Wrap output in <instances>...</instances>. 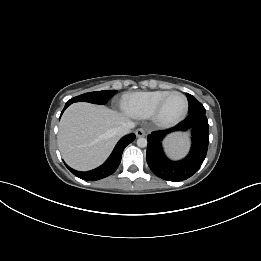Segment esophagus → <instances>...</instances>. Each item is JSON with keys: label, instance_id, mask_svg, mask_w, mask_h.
Here are the masks:
<instances>
[{"label": "esophagus", "instance_id": "1", "mask_svg": "<svg viewBox=\"0 0 261 261\" xmlns=\"http://www.w3.org/2000/svg\"><path fill=\"white\" fill-rule=\"evenodd\" d=\"M135 134H136L137 137H143V136L146 135V132H145L144 129L139 128V129L136 130Z\"/></svg>", "mask_w": 261, "mask_h": 261}]
</instances>
